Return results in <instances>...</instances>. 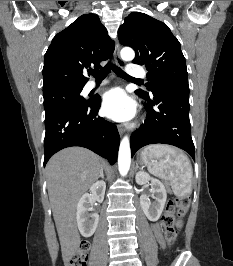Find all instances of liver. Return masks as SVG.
Here are the masks:
<instances>
[{
    "instance_id": "obj_1",
    "label": "liver",
    "mask_w": 233,
    "mask_h": 266,
    "mask_svg": "<svg viewBox=\"0 0 233 266\" xmlns=\"http://www.w3.org/2000/svg\"><path fill=\"white\" fill-rule=\"evenodd\" d=\"M103 161L92 151L69 147L46 166L49 200L65 261L79 243L76 208L79 198L98 179Z\"/></svg>"
}]
</instances>
